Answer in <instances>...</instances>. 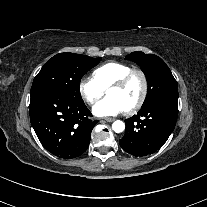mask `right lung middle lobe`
I'll return each instance as SVG.
<instances>
[{
  "label": "right lung middle lobe",
  "instance_id": "obj_1",
  "mask_svg": "<svg viewBox=\"0 0 207 207\" xmlns=\"http://www.w3.org/2000/svg\"><path fill=\"white\" fill-rule=\"evenodd\" d=\"M101 58L74 53H60L48 60L34 78L31 94L38 91H57L82 101L80 81L83 75L96 66Z\"/></svg>",
  "mask_w": 207,
  "mask_h": 207
}]
</instances>
